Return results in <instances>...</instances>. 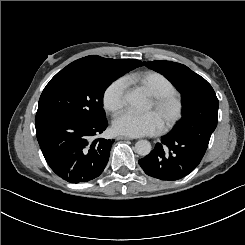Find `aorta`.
I'll list each match as a JSON object with an SVG mask.
<instances>
[{
	"mask_svg": "<svg viewBox=\"0 0 245 245\" xmlns=\"http://www.w3.org/2000/svg\"><path fill=\"white\" fill-rule=\"evenodd\" d=\"M126 103L134 109H143L146 105V98L137 91H130L125 94ZM152 150L150 142L147 140H139L135 144V152L140 156H147Z\"/></svg>",
	"mask_w": 245,
	"mask_h": 245,
	"instance_id": "762f6f07",
	"label": "aorta"
}]
</instances>
